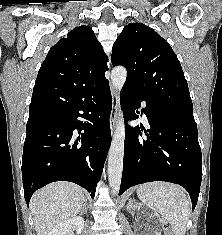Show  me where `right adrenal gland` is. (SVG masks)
I'll use <instances>...</instances> for the list:
<instances>
[{
    "instance_id": "2a0ac1e0",
    "label": "right adrenal gland",
    "mask_w": 222,
    "mask_h": 235,
    "mask_svg": "<svg viewBox=\"0 0 222 235\" xmlns=\"http://www.w3.org/2000/svg\"><path fill=\"white\" fill-rule=\"evenodd\" d=\"M82 213H87V202L86 201L84 202L83 208L80 211V214H82Z\"/></svg>"
}]
</instances>
